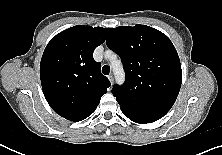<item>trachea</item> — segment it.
I'll use <instances>...</instances> for the list:
<instances>
[{
  "label": "trachea",
  "mask_w": 222,
  "mask_h": 155,
  "mask_svg": "<svg viewBox=\"0 0 222 155\" xmlns=\"http://www.w3.org/2000/svg\"><path fill=\"white\" fill-rule=\"evenodd\" d=\"M102 73L108 75L110 73V67L108 65L103 66Z\"/></svg>",
  "instance_id": "1"
}]
</instances>
